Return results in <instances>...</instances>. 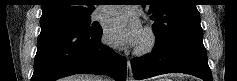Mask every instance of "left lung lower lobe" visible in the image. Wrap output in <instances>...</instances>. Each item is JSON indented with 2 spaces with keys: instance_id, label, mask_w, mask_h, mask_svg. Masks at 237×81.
<instances>
[{
  "instance_id": "left-lung-lower-lobe-1",
  "label": "left lung lower lobe",
  "mask_w": 237,
  "mask_h": 81,
  "mask_svg": "<svg viewBox=\"0 0 237 81\" xmlns=\"http://www.w3.org/2000/svg\"><path fill=\"white\" fill-rule=\"evenodd\" d=\"M134 78L180 72L212 81L203 32H185L162 42H156L151 53L131 60Z\"/></svg>"
}]
</instances>
